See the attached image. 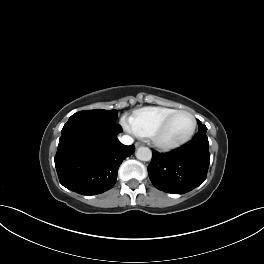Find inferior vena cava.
Segmentation results:
<instances>
[{
	"instance_id": "inferior-vena-cava-1",
	"label": "inferior vena cava",
	"mask_w": 264,
	"mask_h": 264,
	"mask_svg": "<svg viewBox=\"0 0 264 264\" xmlns=\"http://www.w3.org/2000/svg\"><path fill=\"white\" fill-rule=\"evenodd\" d=\"M120 142L124 145H131L134 140L132 137H130L129 135H123L122 137L119 138Z\"/></svg>"
}]
</instances>
